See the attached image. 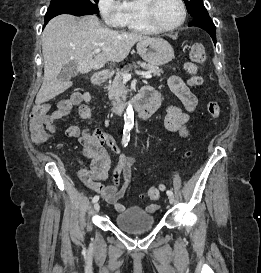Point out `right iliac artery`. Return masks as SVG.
Wrapping results in <instances>:
<instances>
[{
  "mask_svg": "<svg viewBox=\"0 0 261 273\" xmlns=\"http://www.w3.org/2000/svg\"><path fill=\"white\" fill-rule=\"evenodd\" d=\"M129 140H130L129 129H124L123 138H122V145L127 146ZM98 200H99V196L96 195V196L93 197L92 202L96 203Z\"/></svg>",
  "mask_w": 261,
  "mask_h": 273,
  "instance_id": "obj_1",
  "label": "right iliac artery"
}]
</instances>
